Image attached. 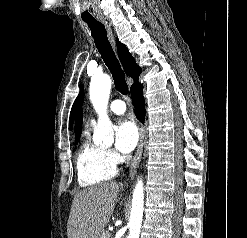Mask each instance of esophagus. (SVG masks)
<instances>
[{"label": "esophagus", "mask_w": 247, "mask_h": 238, "mask_svg": "<svg viewBox=\"0 0 247 238\" xmlns=\"http://www.w3.org/2000/svg\"><path fill=\"white\" fill-rule=\"evenodd\" d=\"M103 23L108 30V34H109V37H110L112 43L114 44V37H113V33H112V29H111L110 24H108V22L105 20L103 21ZM143 145H144V127L142 124H139V143H138L137 150L135 152V155L133 157V160H132L130 168H129V178H132L134 176V174L136 173V169L139 166L142 152H143Z\"/></svg>", "instance_id": "1"}]
</instances>
